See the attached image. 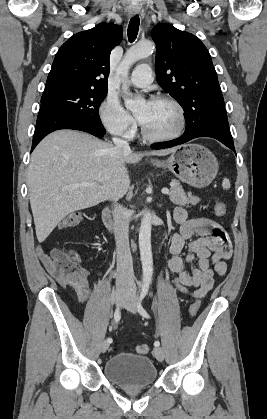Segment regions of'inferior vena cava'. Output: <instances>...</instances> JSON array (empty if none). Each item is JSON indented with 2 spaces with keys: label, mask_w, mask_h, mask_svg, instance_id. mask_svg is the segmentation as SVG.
Returning <instances> with one entry per match:
<instances>
[{
  "label": "inferior vena cava",
  "mask_w": 267,
  "mask_h": 419,
  "mask_svg": "<svg viewBox=\"0 0 267 419\" xmlns=\"http://www.w3.org/2000/svg\"><path fill=\"white\" fill-rule=\"evenodd\" d=\"M116 148L130 150L129 143L117 137L112 138ZM114 235L117 253L116 288L131 290L134 288L132 256L129 247V220L126 209L116 201L113 203Z\"/></svg>",
  "instance_id": "inferior-vena-cava-1"
}]
</instances>
